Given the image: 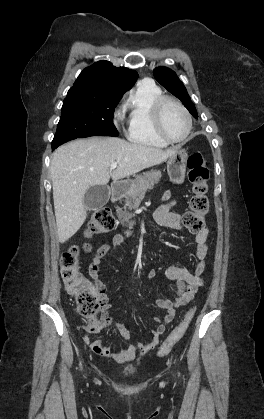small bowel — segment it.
<instances>
[{
  "label": "small bowel",
  "instance_id": "small-bowel-1",
  "mask_svg": "<svg viewBox=\"0 0 264 419\" xmlns=\"http://www.w3.org/2000/svg\"><path fill=\"white\" fill-rule=\"evenodd\" d=\"M163 199L165 202L158 206L154 212L155 221L161 226L183 230L185 227L182 224L180 217L170 212L171 207L175 203L171 199L170 193H164ZM208 235V229L203 228L194 238L196 247L195 257L198 260V263L192 270L180 265H172L165 270L164 274L166 278L176 281V296L172 300H157V306L165 311V315L162 318H154V321L158 325L152 330L150 340L144 343H130L127 347L119 351H112L111 348L101 340L93 341L91 339V334L98 333L105 328L111 327L116 329L124 340L129 341L131 339L130 330L127 329L124 324L116 322L111 318L109 314L111 304L107 295V287L99 277L101 258L110 249L117 250L124 243V237L115 235L112 238L111 243L104 244L98 249L96 256L88 266V274L94 283L98 296L103 302L102 316L98 321L97 328L94 331L85 334L83 337L84 342L90 346L95 354L122 364L134 360L137 355L144 356L157 347L160 336L165 332L166 325L174 319L176 309L188 304L193 299L198 288L203 284L202 274L207 267L206 258L209 250ZM156 276L157 274L154 270L150 271L148 274L150 279H155Z\"/></svg>",
  "mask_w": 264,
  "mask_h": 419
}]
</instances>
